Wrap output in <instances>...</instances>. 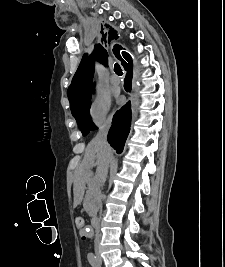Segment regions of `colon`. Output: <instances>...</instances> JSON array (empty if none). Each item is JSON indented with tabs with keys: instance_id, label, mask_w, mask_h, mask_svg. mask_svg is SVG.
<instances>
[{
	"instance_id": "obj_1",
	"label": "colon",
	"mask_w": 225,
	"mask_h": 267,
	"mask_svg": "<svg viewBox=\"0 0 225 267\" xmlns=\"http://www.w3.org/2000/svg\"><path fill=\"white\" fill-rule=\"evenodd\" d=\"M75 225L81 234H84V218L81 216L76 217Z\"/></svg>"
}]
</instances>
